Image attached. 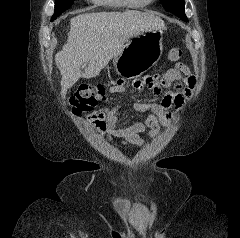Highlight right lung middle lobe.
Masks as SVG:
<instances>
[{
	"label": "right lung middle lobe",
	"mask_w": 240,
	"mask_h": 238,
	"mask_svg": "<svg viewBox=\"0 0 240 238\" xmlns=\"http://www.w3.org/2000/svg\"><path fill=\"white\" fill-rule=\"evenodd\" d=\"M74 0H56L55 11L51 18V21L55 20L63 11L72 6Z\"/></svg>",
	"instance_id": "right-lung-middle-lobe-1"
}]
</instances>
